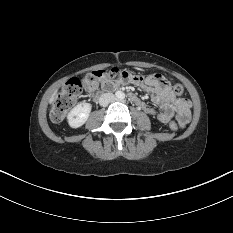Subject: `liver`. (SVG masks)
Instances as JSON below:
<instances>
[{
    "mask_svg": "<svg viewBox=\"0 0 233 233\" xmlns=\"http://www.w3.org/2000/svg\"><path fill=\"white\" fill-rule=\"evenodd\" d=\"M55 95H56V93H54V94L52 95V97L50 98V104H52V103L54 102Z\"/></svg>",
    "mask_w": 233,
    "mask_h": 233,
    "instance_id": "6515ba94",
    "label": "liver"
}]
</instances>
